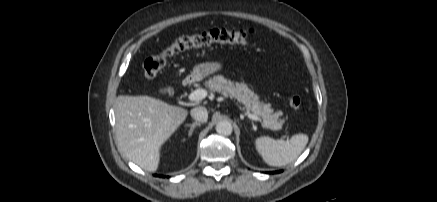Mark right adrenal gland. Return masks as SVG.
<instances>
[{"label": "right adrenal gland", "mask_w": 437, "mask_h": 202, "mask_svg": "<svg viewBox=\"0 0 437 202\" xmlns=\"http://www.w3.org/2000/svg\"><path fill=\"white\" fill-rule=\"evenodd\" d=\"M200 125H201L200 122H194V123H192V124H186V126L190 127V130H189L188 136L190 137V136L192 135V133H193L195 127H196V126H200Z\"/></svg>", "instance_id": "2a0ac1e0"}]
</instances>
